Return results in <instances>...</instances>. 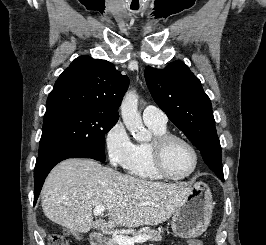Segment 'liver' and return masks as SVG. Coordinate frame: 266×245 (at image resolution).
<instances>
[{"label":"liver","mask_w":266,"mask_h":245,"mask_svg":"<svg viewBox=\"0 0 266 245\" xmlns=\"http://www.w3.org/2000/svg\"><path fill=\"white\" fill-rule=\"evenodd\" d=\"M188 187L152 183L121 175L93 159H67L49 173L41 191L43 213L49 221L76 233L111 231L168 221L187 201ZM97 205L106 207L109 221H92Z\"/></svg>","instance_id":"1"}]
</instances>
